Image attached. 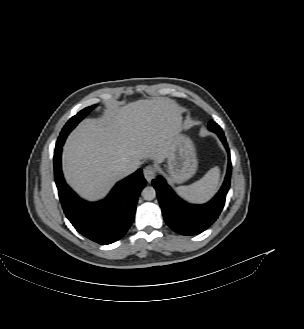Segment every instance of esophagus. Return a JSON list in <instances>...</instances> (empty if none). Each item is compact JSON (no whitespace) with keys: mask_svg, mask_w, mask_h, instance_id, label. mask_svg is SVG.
<instances>
[{"mask_svg":"<svg viewBox=\"0 0 304 329\" xmlns=\"http://www.w3.org/2000/svg\"><path fill=\"white\" fill-rule=\"evenodd\" d=\"M143 175L147 182L150 183L154 179L156 171L152 166H147L143 170Z\"/></svg>","mask_w":304,"mask_h":329,"instance_id":"esophagus-1","label":"esophagus"}]
</instances>
